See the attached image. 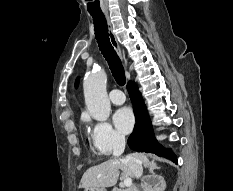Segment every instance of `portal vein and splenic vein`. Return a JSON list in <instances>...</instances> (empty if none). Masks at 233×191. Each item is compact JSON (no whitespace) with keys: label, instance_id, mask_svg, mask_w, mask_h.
I'll return each instance as SVG.
<instances>
[{"label":"portal vein and splenic vein","instance_id":"1","mask_svg":"<svg viewBox=\"0 0 233 191\" xmlns=\"http://www.w3.org/2000/svg\"><path fill=\"white\" fill-rule=\"evenodd\" d=\"M124 185L127 188L131 187V185H132V179L131 178H125L124 179Z\"/></svg>","mask_w":233,"mask_h":191}]
</instances>
